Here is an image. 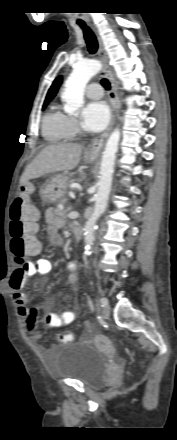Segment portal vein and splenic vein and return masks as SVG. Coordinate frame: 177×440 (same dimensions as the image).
Instances as JSON below:
<instances>
[{"label":"portal vein and splenic vein","mask_w":177,"mask_h":440,"mask_svg":"<svg viewBox=\"0 0 177 440\" xmlns=\"http://www.w3.org/2000/svg\"><path fill=\"white\" fill-rule=\"evenodd\" d=\"M70 219H75L78 217V212L72 211L67 215Z\"/></svg>","instance_id":"obj_1"}]
</instances>
